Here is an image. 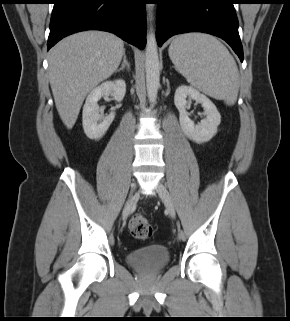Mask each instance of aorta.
<instances>
[{"label": "aorta", "instance_id": "762f6f07", "mask_svg": "<svg viewBox=\"0 0 290 321\" xmlns=\"http://www.w3.org/2000/svg\"><path fill=\"white\" fill-rule=\"evenodd\" d=\"M154 4L146 6L147 20L150 28L147 31L146 51H145V71H146V87L150 103H155L157 92L160 86V65L157 49V41L152 26Z\"/></svg>", "mask_w": 290, "mask_h": 321}]
</instances>
